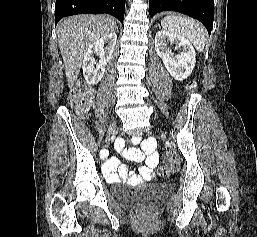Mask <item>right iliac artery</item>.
<instances>
[{
	"label": "right iliac artery",
	"mask_w": 257,
	"mask_h": 237,
	"mask_svg": "<svg viewBox=\"0 0 257 237\" xmlns=\"http://www.w3.org/2000/svg\"><path fill=\"white\" fill-rule=\"evenodd\" d=\"M100 154H101V156H106L107 155V151L106 150H101Z\"/></svg>",
	"instance_id": "obj_1"
}]
</instances>
